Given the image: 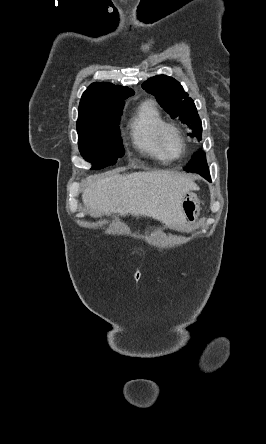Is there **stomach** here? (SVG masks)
<instances>
[{"label":"stomach","mask_w":266,"mask_h":444,"mask_svg":"<svg viewBox=\"0 0 266 444\" xmlns=\"http://www.w3.org/2000/svg\"><path fill=\"white\" fill-rule=\"evenodd\" d=\"M199 211L200 200L197 195L192 192H187L181 202L182 222L185 228L192 226L196 222Z\"/></svg>","instance_id":"1"}]
</instances>
